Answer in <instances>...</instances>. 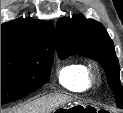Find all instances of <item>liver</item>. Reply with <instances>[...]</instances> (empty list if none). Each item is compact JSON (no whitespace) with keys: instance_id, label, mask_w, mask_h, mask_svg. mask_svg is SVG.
Returning a JSON list of instances; mask_svg holds the SVG:
<instances>
[{"instance_id":"obj_1","label":"liver","mask_w":123,"mask_h":113,"mask_svg":"<svg viewBox=\"0 0 123 113\" xmlns=\"http://www.w3.org/2000/svg\"><path fill=\"white\" fill-rule=\"evenodd\" d=\"M70 101H72L70 97L61 95L41 97L13 110L12 113H51L59 106H63Z\"/></svg>"}]
</instances>
